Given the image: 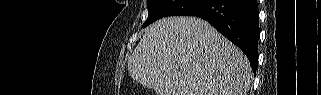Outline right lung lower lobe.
<instances>
[{"label": "right lung lower lobe", "instance_id": "98d812e1", "mask_svg": "<svg viewBox=\"0 0 321 95\" xmlns=\"http://www.w3.org/2000/svg\"><path fill=\"white\" fill-rule=\"evenodd\" d=\"M189 16L208 21L237 45L256 73L260 34L257 0H208Z\"/></svg>", "mask_w": 321, "mask_h": 95}]
</instances>
